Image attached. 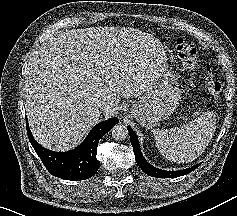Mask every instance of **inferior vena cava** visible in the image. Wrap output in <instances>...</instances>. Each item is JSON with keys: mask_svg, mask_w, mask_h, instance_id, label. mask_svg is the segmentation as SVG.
<instances>
[{"mask_svg": "<svg viewBox=\"0 0 237 216\" xmlns=\"http://www.w3.org/2000/svg\"><path fill=\"white\" fill-rule=\"evenodd\" d=\"M118 103H112L109 100H100L98 102V107L100 108V110H112V111H116L118 109Z\"/></svg>", "mask_w": 237, "mask_h": 216, "instance_id": "602c4592", "label": "inferior vena cava"}]
</instances>
